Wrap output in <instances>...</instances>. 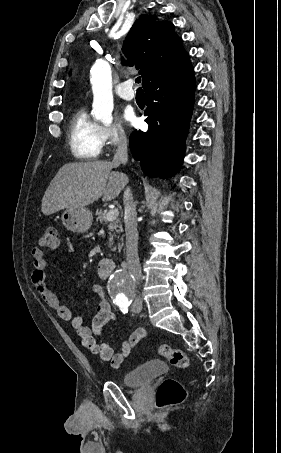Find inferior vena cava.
Instances as JSON below:
<instances>
[{
	"instance_id": "602c4592",
	"label": "inferior vena cava",
	"mask_w": 281,
	"mask_h": 453,
	"mask_svg": "<svg viewBox=\"0 0 281 453\" xmlns=\"http://www.w3.org/2000/svg\"><path fill=\"white\" fill-rule=\"evenodd\" d=\"M117 148L114 154L113 162L120 164V162H127V138L124 132H119L116 140ZM128 182L127 176L124 174V184ZM124 198V222H125V233H126V261L130 269L131 277H134L137 285L141 281V267L138 257V231H137V212L135 208V202H133V194H131L130 188H126L123 194ZM141 301V297H137L135 303Z\"/></svg>"
}]
</instances>
